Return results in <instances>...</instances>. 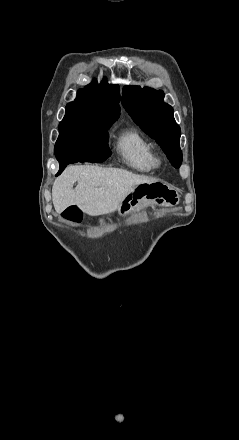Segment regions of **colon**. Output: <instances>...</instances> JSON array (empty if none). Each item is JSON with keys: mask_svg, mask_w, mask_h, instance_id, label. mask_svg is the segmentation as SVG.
Instances as JSON below:
<instances>
[{"mask_svg": "<svg viewBox=\"0 0 239 440\" xmlns=\"http://www.w3.org/2000/svg\"><path fill=\"white\" fill-rule=\"evenodd\" d=\"M65 218L73 222H78L80 220V211L75 206L68 207L64 212Z\"/></svg>", "mask_w": 239, "mask_h": 440, "instance_id": "colon-1", "label": "colon"}]
</instances>
